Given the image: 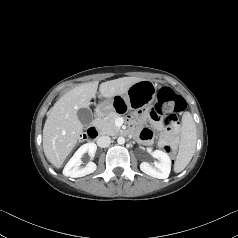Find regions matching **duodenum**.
<instances>
[{"label":"duodenum","mask_w":238,"mask_h":238,"mask_svg":"<svg viewBox=\"0 0 238 238\" xmlns=\"http://www.w3.org/2000/svg\"><path fill=\"white\" fill-rule=\"evenodd\" d=\"M102 114H103V110H101V109L96 112V116H97V117H100ZM87 135H88L89 138H92V139L96 138V137L98 136V130H97V128L94 127V126H91V127L87 130Z\"/></svg>","instance_id":"duodenum-1"}]
</instances>
